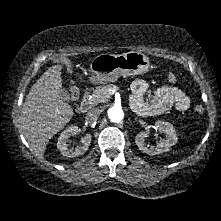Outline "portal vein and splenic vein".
<instances>
[{"mask_svg": "<svg viewBox=\"0 0 221 221\" xmlns=\"http://www.w3.org/2000/svg\"><path fill=\"white\" fill-rule=\"evenodd\" d=\"M114 93H115V90H114V89L110 91V94H111V95L114 94Z\"/></svg>", "mask_w": 221, "mask_h": 221, "instance_id": "obj_1", "label": "portal vein and splenic vein"}]
</instances>
